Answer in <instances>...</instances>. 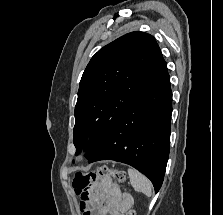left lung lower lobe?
Returning <instances> with one entry per match:
<instances>
[{
	"label": "left lung lower lobe",
	"mask_w": 223,
	"mask_h": 215,
	"mask_svg": "<svg viewBox=\"0 0 223 215\" xmlns=\"http://www.w3.org/2000/svg\"><path fill=\"white\" fill-rule=\"evenodd\" d=\"M171 114L172 91L164 62L89 163L114 160L129 164L152 181L157 193L169 157Z\"/></svg>",
	"instance_id": "obj_1"
}]
</instances>
